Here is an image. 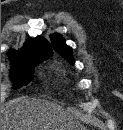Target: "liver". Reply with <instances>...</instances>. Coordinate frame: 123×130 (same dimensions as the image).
<instances>
[{"label": "liver", "mask_w": 123, "mask_h": 130, "mask_svg": "<svg viewBox=\"0 0 123 130\" xmlns=\"http://www.w3.org/2000/svg\"><path fill=\"white\" fill-rule=\"evenodd\" d=\"M72 118L57 102L18 97L1 110V130H71Z\"/></svg>", "instance_id": "liver-1"}]
</instances>
